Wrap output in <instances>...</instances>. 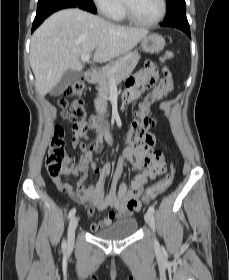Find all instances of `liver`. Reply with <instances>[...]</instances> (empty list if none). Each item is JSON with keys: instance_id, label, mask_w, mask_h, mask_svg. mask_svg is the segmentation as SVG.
Listing matches in <instances>:
<instances>
[{"instance_id": "obj_1", "label": "liver", "mask_w": 229, "mask_h": 280, "mask_svg": "<svg viewBox=\"0 0 229 280\" xmlns=\"http://www.w3.org/2000/svg\"><path fill=\"white\" fill-rule=\"evenodd\" d=\"M148 34L147 29L125 27L80 9L51 15L34 32L30 65L37 92L44 97L68 70L81 71L80 57L91 54L104 63L128 53Z\"/></svg>"}]
</instances>
